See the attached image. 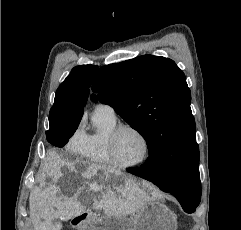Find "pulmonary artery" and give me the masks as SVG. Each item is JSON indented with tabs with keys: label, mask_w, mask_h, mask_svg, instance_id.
<instances>
[{
	"label": "pulmonary artery",
	"mask_w": 241,
	"mask_h": 230,
	"mask_svg": "<svg viewBox=\"0 0 241 230\" xmlns=\"http://www.w3.org/2000/svg\"><path fill=\"white\" fill-rule=\"evenodd\" d=\"M95 111H104V112H109V113L115 114L113 108L106 104L96 105Z\"/></svg>",
	"instance_id": "e3ab8cb5"
}]
</instances>
